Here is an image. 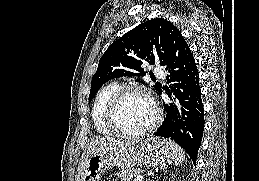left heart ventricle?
I'll list each match as a JSON object with an SVG mask.
<instances>
[{
  "mask_svg": "<svg viewBox=\"0 0 259 181\" xmlns=\"http://www.w3.org/2000/svg\"><path fill=\"white\" fill-rule=\"evenodd\" d=\"M155 116L149 100L139 93L124 97L118 110L119 125L127 131H138L148 126Z\"/></svg>",
  "mask_w": 259,
  "mask_h": 181,
  "instance_id": "b2bd125f",
  "label": "left heart ventricle"
}]
</instances>
